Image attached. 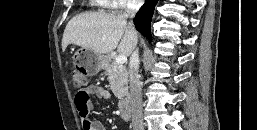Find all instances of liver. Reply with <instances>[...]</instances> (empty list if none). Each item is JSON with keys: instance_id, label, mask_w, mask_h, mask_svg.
Instances as JSON below:
<instances>
[{"instance_id": "liver-1", "label": "liver", "mask_w": 257, "mask_h": 130, "mask_svg": "<svg viewBox=\"0 0 257 130\" xmlns=\"http://www.w3.org/2000/svg\"><path fill=\"white\" fill-rule=\"evenodd\" d=\"M134 36L123 15L89 12L73 17L63 33L62 50L69 44L108 54L117 48L123 56L134 49Z\"/></svg>"}]
</instances>
